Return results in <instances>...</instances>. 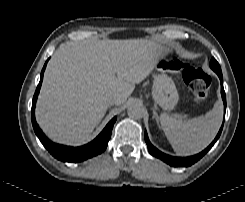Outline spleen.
Instances as JSON below:
<instances>
[{
  "instance_id": "spleen-1",
  "label": "spleen",
  "mask_w": 245,
  "mask_h": 202,
  "mask_svg": "<svg viewBox=\"0 0 245 202\" xmlns=\"http://www.w3.org/2000/svg\"><path fill=\"white\" fill-rule=\"evenodd\" d=\"M161 127L178 155L186 156L203 150L214 139L223 119V107L217 101L205 115L182 120L162 113Z\"/></svg>"
}]
</instances>
